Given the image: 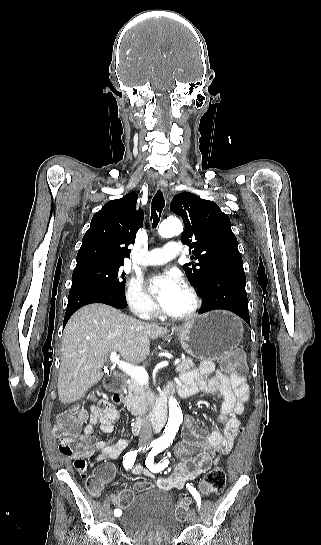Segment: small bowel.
<instances>
[{"instance_id":"small-bowel-1","label":"small bowel","mask_w":321,"mask_h":545,"mask_svg":"<svg viewBox=\"0 0 321 545\" xmlns=\"http://www.w3.org/2000/svg\"><path fill=\"white\" fill-rule=\"evenodd\" d=\"M212 375L210 378L208 376ZM180 392L185 396H193L199 392L220 393L222 402L217 419V427L210 431L206 437L199 433L197 425L192 417L187 418L181 441L176 446V454L179 463L173 472L167 477H159L156 485L160 489H181L186 482L196 479L206 473L219 458L230 452L234 437L239 428L238 417L243 413L244 405L249 398V387L244 377H229L215 368L212 361H204L199 368L190 370L182 375ZM120 412L108 402H101L90 409L88 422L84 427V434L90 437L94 433L97 423L104 433L114 431V421L118 419ZM124 438H112L110 441H97L88 448L86 455L97 452V463L104 462L97 468L96 473L104 471L103 483L110 482L117 475L115 466L106 462L117 458L127 447ZM77 461L84 459L78 458ZM86 464V462H85ZM87 468V464H86ZM132 473L154 478L155 474L140 464L134 466ZM120 511V510H119Z\"/></svg>"}]
</instances>
